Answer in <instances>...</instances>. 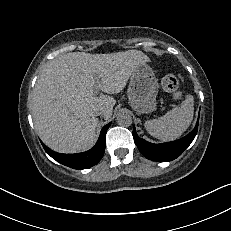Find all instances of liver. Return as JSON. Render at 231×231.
I'll list each match as a JSON object with an SVG mask.
<instances>
[{
  "label": "liver",
  "mask_w": 231,
  "mask_h": 231,
  "mask_svg": "<svg viewBox=\"0 0 231 231\" xmlns=\"http://www.w3.org/2000/svg\"><path fill=\"white\" fill-rule=\"evenodd\" d=\"M149 58L139 50L108 54L72 52L59 55L41 71L32 95V117L41 140L60 153L90 149L96 141V111L112 116L115 99L96 95L124 89L133 71Z\"/></svg>",
  "instance_id": "1"
}]
</instances>
